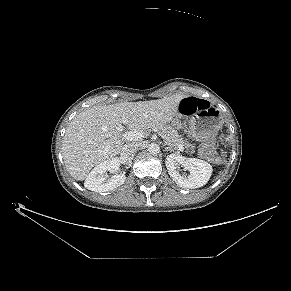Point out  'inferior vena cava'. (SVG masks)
Returning a JSON list of instances; mask_svg holds the SVG:
<instances>
[{
    "label": "inferior vena cava",
    "mask_w": 291,
    "mask_h": 291,
    "mask_svg": "<svg viewBox=\"0 0 291 291\" xmlns=\"http://www.w3.org/2000/svg\"><path fill=\"white\" fill-rule=\"evenodd\" d=\"M141 144L138 142L127 143L122 147L121 156L122 157H130L134 155L139 149Z\"/></svg>",
    "instance_id": "1"
}]
</instances>
